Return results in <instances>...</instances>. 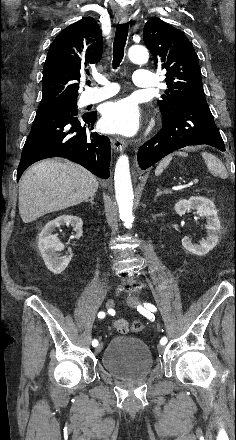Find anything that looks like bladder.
<instances>
[{
    "mask_svg": "<svg viewBox=\"0 0 236 440\" xmlns=\"http://www.w3.org/2000/svg\"><path fill=\"white\" fill-rule=\"evenodd\" d=\"M102 362L104 368L119 378L145 375L153 367L149 347L140 339L117 336L106 346Z\"/></svg>",
    "mask_w": 236,
    "mask_h": 440,
    "instance_id": "31cf9c89",
    "label": "bladder"
}]
</instances>
